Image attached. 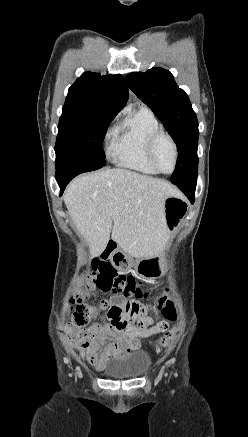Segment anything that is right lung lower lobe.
I'll return each mask as SVG.
<instances>
[{"mask_svg": "<svg viewBox=\"0 0 248 437\" xmlns=\"http://www.w3.org/2000/svg\"><path fill=\"white\" fill-rule=\"evenodd\" d=\"M86 172L85 169L79 167H65L56 170V180L61 188L60 195H62L67 184L78 174Z\"/></svg>", "mask_w": 248, "mask_h": 437, "instance_id": "obj_1", "label": "right lung lower lobe"}]
</instances>
